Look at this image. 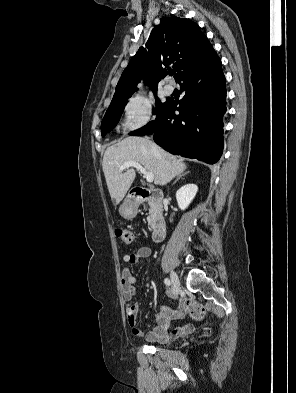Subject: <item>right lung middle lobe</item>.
I'll list each match as a JSON object with an SVG mask.
<instances>
[{"label":"right lung middle lobe","mask_w":296,"mask_h":393,"mask_svg":"<svg viewBox=\"0 0 296 393\" xmlns=\"http://www.w3.org/2000/svg\"><path fill=\"white\" fill-rule=\"evenodd\" d=\"M156 89L154 90V92ZM129 98L120 99L112 101L105 116L101 123L102 137H104L108 132H110L118 123L119 118L124 110L125 104L128 102ZM166 103V102H165ZM165 103H161L158 98H156V108L153 109V114H158L164 107Z\"/></svg>","instance_id":"obj_1"}]
</instances>
